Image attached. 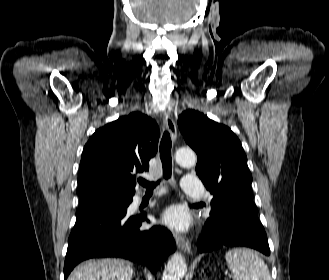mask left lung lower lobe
Wrapping results in <instances>:
<instances>
[{
    "mask_svg": "<svg viewBox=\"0 0 329 280\" xmlns=\"http://www.w3.org/2000/svg\"><path fill=\"white\" fill-rule=\"evenodd\" d=\"M222 246H247L265 255L270 254L267 236L251 196L238 198L229 204L219 225L206 221L204 232L199 237L198 251H212Z\"/></svg>",
    "mask_w": 329,
    "mask_h": 280,
    "instance_id": "0a47b994",
    "label": "left lung lower lobe"
}]
</instances>
